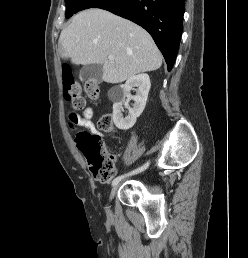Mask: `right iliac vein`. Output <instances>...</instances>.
I'll return each mask as SVG.
<instances>
[{"label":"right iliac vein","mask_w":248,"mask_h":258,"mask_svg":"<svg viewBox=\"0 0 248 258\" xmlns=\"http://www.w3.org/2000/svg\"><path fill=\"white\" fill-rule=\"evenodd\" d=\"M119 186H120V184L117 183V184L113 187V189H112V191H111V193H110V197H109L110 200H112V199L114 198V196L116 195Z\"/></svg>","instance_id":"obj_1"}]
</instances>
